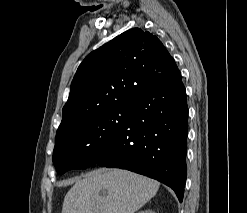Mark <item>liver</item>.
I'll list each match as a JSON object with an SVG mask.
<instances>
[{
  "label": "liver",
  "mask_w": 247,
  "mask_h": 213,
  "mask_svg": "<svg viewBox=\"0 0 247 213\" xmlns=\"http://www.w3.org/2000/svg\"><path fill=\"white\" fill-rule=\"evenodd\" d=\"M159 186L156 180L128 170H94L76 180L64 198L62 213H134Z\"/></svg>",
  "instance_id": "6515ba94"
}]
</instances>
